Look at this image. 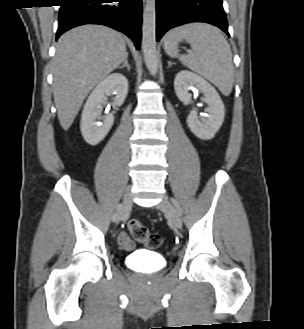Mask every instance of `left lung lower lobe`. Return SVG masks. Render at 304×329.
<instances>
[{
	"instance_id": "obj_1",
	"label": "left lung lower lobe",
	"mask_w": 304,
	"mask_h": 329,
	"mask_svg": "<svg viewBox=\"0 0 304 329\" xmlns=\"http://www.w3.org/2000/svg\"><path fill=\"white\" fill-rule=\"evenodd\" d=\"M157 41L171 28L190 22H205L222 29L228 24L222 0H156Z\"/></svg>"
}]
</instances>
